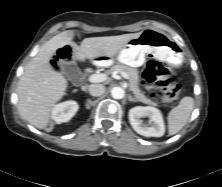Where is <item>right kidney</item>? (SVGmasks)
<instances>
[{"label":"right kidney","instance_id":"1","mask_svg":"<svg viewBox=\"0 0 222 187\" xmlns=\"http://www.w3.org/2000/svg\"><path fill=\"white\" fill-rule=\"evenodd\" d=\"M79 105L75 101H66L55 105L51 117L57 123L68 122L78 111Z\"/></svg>","mask_w":222,"mask_h":187}]
</instances>
